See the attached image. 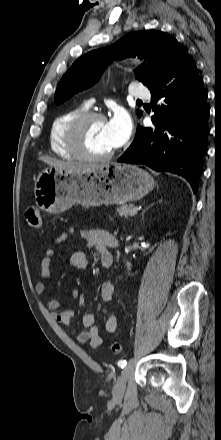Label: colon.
<instances>
[{
	"instance_id": "colon-1",
	"label": "colon",
	"mask_w": 221,
	"mask_h": 440,
	"mask_svg": "<svg viewBox=\"0 0 221 440\" xmlns=\"http://www.w3.org/2000/svg\"><path fill=\"white\" fill-rule=\"evenodd\" d=\"M26 220L28 225L33 229H40L42 227L41 214L36 206H31L27 209ZM109 347L114 354H118L122 351V345L118 342H112Z\"/></svg>"
}]
</instances>
